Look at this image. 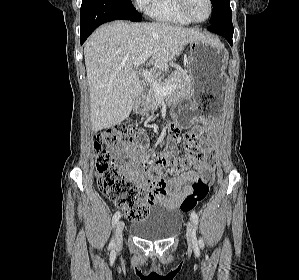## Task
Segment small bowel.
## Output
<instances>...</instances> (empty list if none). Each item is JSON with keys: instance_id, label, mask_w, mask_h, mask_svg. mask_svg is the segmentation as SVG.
<instances>
[{"instance_id": "small-bowel-1", "label": "small bowel", "mask_w": 299, "mask_h": 280, "mask_svg": "<svg viewBox=\"0 0 299 280\" xmlns=\"http://www.w3.org/2000/svg\"><path fill=\"white\" fill-rule=\"evenodd\" d=\"M178 130L177 124L172 123L171 130ZM219 124L215 120L204 121L198 125L197 135L199 156L193 160L190 170L173 178H166L164 165L158 161V156H150L147 141H128L115 148V153L131 160L127 165L128 174L147 190L149 208L159 204L165 208L176 209L181 206L183 199L191 192L193 184L204 179L210 183L214 180L215 164L214 150L218 144ZM169 151L176 155V148L170 146Z\"/></svg>"}]
</instances>
